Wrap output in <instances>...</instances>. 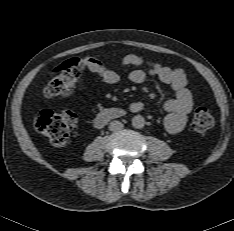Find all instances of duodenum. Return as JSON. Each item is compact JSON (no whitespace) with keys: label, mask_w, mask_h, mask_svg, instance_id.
Here are the masks:
<instances>
[{"label":"duodenum","mask_w":234,"mask_h":231,"mask_svg":"<svg viewBox=\"0 0 234 231\" xmlns=\"http://www.w3.org/2000/svg\"><path fill=\"white\" fill-rule=\"evenodd\" d=\"M125 115V110L121 108H106L100 111L95 116V124L101 126L108 121L123 117Z\"/></svg>","instance_id":"obj_1"}]
</instances>
